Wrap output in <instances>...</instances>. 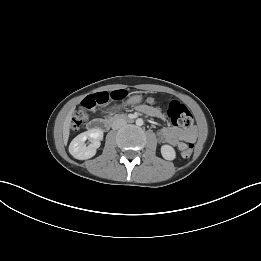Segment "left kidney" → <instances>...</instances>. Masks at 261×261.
<instances>
[{
  "instance_id": "5707ae66",
  "label": "left kidney",
  "mask_w": 261,
  "mask_h": 261,
  "mask_svg": "<svg viewBox=\"0 0 261 261\" xmlns=\"http://www.w3.org/2000/svg\"><path fill=\"white\" fill-rule=\"evenodd\" d=\"M161 154L166 160H174L176 157L175 150L169 145H163L161 147Z\"/></svg>"
}]
</instances>
